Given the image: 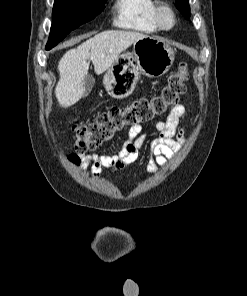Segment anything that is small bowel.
<instances>
[{
	"mask_svg": "<svg viewBox=\"0 0 247 296\" xmlns=\"http://www.w3.org/2000/svg\"><path fill=\"white\" fill-rule=\"evenodd\" d=\"M187 113L183 104L174 106L165 121L154 124V131L158 133L149 146L147 156V170L154 174L159 167L168 165L186 142L187 130H178V124ZM148 138V133L142 132V127L133 125L128 132L127 139L123 142L120 150L115 154H83L81 155L80 169L90 171L92 176L98 179L103 168H110L116 173L135 162L140 150Z\"/></svg>",
	"mask_w": 247,
	"mask_h": 296,
	"instance_id": "obj_1",
	"label": "small bowel"
}]
</instances>
